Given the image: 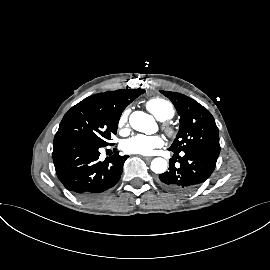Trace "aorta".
<instances>
[{
    "mask_svg": "<svg viewBox=\"0 0 270 270\" xmlns=\"http://www.w3.org/2000/svg\"><path fill=\"white\" fill-rule=\"evenodd\" d=\"M130 125L133 129L145 133L153 134L157 131V124L154 118L144 112L135 111L130 115ZM167 169V161L164 158H155L151 162V170L155 173H164Z\"/></svg>",
    "mask_w": 270,
    "mask_h": 270,
    "instance_id": "762f6f07",
    "label": "aorta"
}]
</instances>
